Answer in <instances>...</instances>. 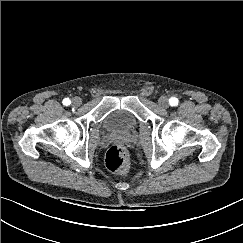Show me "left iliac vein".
Listing matches in <instances>:
<instances>
[{"instance_id":"4c4485c4","label":"left iliac vein","mask_w":243,"mask_h":243,"mask_svg":"<svg viewBox=\"0 0 243 243\" xmlns=\"http://www.w3.org/2000/svg\"><path fill=\"white\" fill-rule=\"evenodd\" d=\"M158 103L160 105V107L162 108H168L169 107V100L166 96H161L159 99H158Z\"/></svg>"}]
</instances>
